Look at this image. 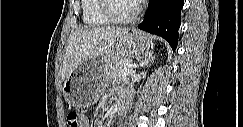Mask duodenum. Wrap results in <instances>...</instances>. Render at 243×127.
I'll return each mask as SVG.
<instances>
[{
	"label": "duodenum",
	"mask_w": 243,
	"mask_h": 127,
	"mask_svg": "<svg viewBox=\"0 0 243 127\" xmlns=\"http://www.w3.org/2000/svg\"><path fill=\"white\" fill-rule=\"evenodd\" d=\"M128 105H129V96H128V94H124L120 98V100H119V102H118V104L116 106V111L119 114H123L126 111Z\"/></svg>",
	"instance_id": "duodenum-1"
}]
</instances>
